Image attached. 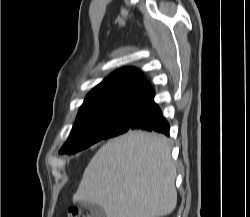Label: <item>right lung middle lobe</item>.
Here are the masks:
<instances>
[{
  "label": "right lung middle lobe",
  "mask_w": 250,
  "mask_h": 217,
  "mask_svg": "<svg viewBox=\"0 0 250 217\" xmlns=\"http://www.w3.org/2000/svg\"><path fill=\"white\" fill-rule=\"evenodd\" d=\"M140 106H123L77 117L70 137L59 153L74 154L102 139L127 132L136 119Z\"/></svg>",
  "instance_id": "dd1d6c3e"
}]
</instances>
